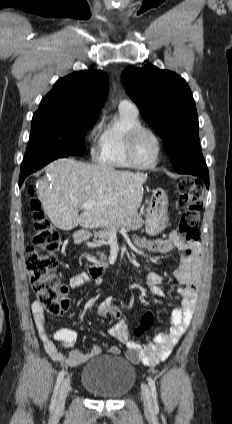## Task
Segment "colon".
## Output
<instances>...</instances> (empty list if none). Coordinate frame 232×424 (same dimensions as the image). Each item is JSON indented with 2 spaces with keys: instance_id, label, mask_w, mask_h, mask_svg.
I'll return each mask as SVG.
<instances>
[{
  "instance_id": "1",
  "label": "colon",
  "mask_w": 232,
  "mask_h": 424,
  "mask_svg": "<svg viewBox=\"0 0 232 424\" xmlns=\"http://www.w3.org/2000/svg\"><path fill=\"white\" fill-rule=\"evenodd\" d=\"M179 196L176 205L185 208L179 217L177 233L190 254L189 246L199 237L200 214L204 207V187L194 179H184L178 186ZM31 210L35 235L32 244L26 250L25 265L29 281L36 294L35 303L53 315L64 312V302L61 297L62 285L57 275V253L60 246L58 232L44 214L36 197L33 186L29 189ZM154 324V315L145 313L134 330L137 338L142 337Z\"/></svg>"
}]
</instances>
